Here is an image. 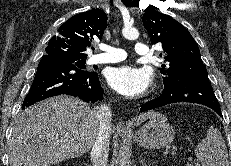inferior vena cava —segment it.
<instances>
[{"label":"inferior vena cava","mask_w":231,"mask_h":166,"mask_svg":"<svg viewBox=\"0 0 231 166\" xmlns=\"http://www.w3.org/2000/svg\"><path fill=\"white\" fill-rule=\"evenodd\" d=\"M95 115L99 121V132L91 150L92 164L93 166H106L111 134V108L108 105L98 106L95 108Z\"/></svg>","instance_id":"602c4592"}]
</instances>
